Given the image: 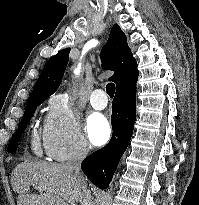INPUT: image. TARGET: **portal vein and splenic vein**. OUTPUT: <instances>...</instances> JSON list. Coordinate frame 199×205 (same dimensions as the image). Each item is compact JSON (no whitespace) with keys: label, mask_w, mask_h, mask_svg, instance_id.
Here are the masks:
<instances>
[{"label":"portal vein and splenic vein","mask_w":199,"mask_h":205,"mask_svg":"<svg viewBox=\"0 0 199 205\" xmlns=\"http://www.w3.org/2000/svg\"><path fill=\"white\" fill-rule=\"evenodd\" d=\"M61 197H63L65 200H66V202L67 203H69L70 205H75L74 204V201L71 199V198H69L67 195H65V194H63V193H58Z\"/></svg>","instance_id":"18ae733b"}]
</instances>
